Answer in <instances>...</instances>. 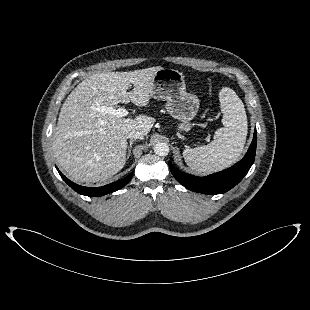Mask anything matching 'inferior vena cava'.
Listing matches in <instances>:
<instances>
[{
  "label": "inferior vena cava",
  "instance_id": "1",
  "mask_svg": "<svg viewBox=\"0 0 310 310\" xmlns=\"http://www.w3.org/2000/svg\"><path fill=\"white\" fill-rule=\"evenodd\" d=\"M127 137L130 139H143L144 138L143 133L139 130L130 131Z\"/></svg>",
  "mask_w": 310,
  "mask_h": 310
}]
</instances>
